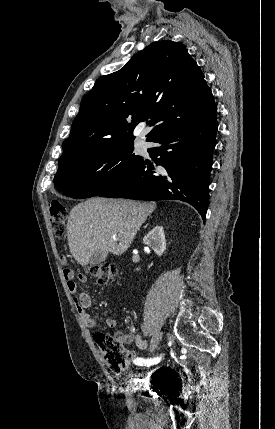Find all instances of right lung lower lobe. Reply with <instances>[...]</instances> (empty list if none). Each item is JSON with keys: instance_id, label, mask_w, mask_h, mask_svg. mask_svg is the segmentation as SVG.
Listing matches in <instances>:
<instances>
[{"instance_id": "1", "label": "right lung lower lobe", "mask_w": 275, "mask_h": 429, "mask_svg": "<svg viewBox=\"0 0 275 429\" xmlns=\"http://www.w3.org/2000/svg\"><path fill=\"white\" fill-rule=\"evenodd\" d=\"M216 110L204 118L156 134L148 141L158 145L148 152L158 167H151L142 158L135 168L98 196L147 201L178 199L191 204L205 220L218 128Z\"/></svg>"}]
</instances>
